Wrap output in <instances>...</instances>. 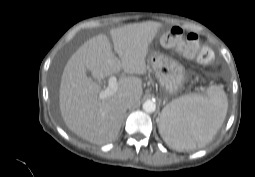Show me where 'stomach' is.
Masks as SVG:
<instances>
[{"label":"stomach","mask_w":255,"mask_h":177,"mask_svg":"<svg viewBox=\"0 0 255 177\" xmlns=\"http://www.w3.org/2000/svg\"><path fill=\"white\" fill-rule=\"evenodd\" d=\"M165 34L162 39H165ZM155 75L167 93L176 94L183 86L185 80V69L176 60L162 53L153 52L149 57Z\"/></svg>","instance_id":"0dacf381"}]
</instances>
